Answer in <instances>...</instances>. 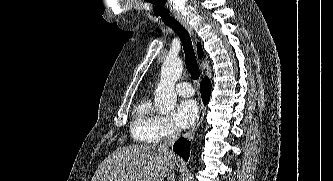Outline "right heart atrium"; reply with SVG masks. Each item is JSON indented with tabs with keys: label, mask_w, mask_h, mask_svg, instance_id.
Wrapping results in <instances>:
<instances>
[{
	"label": "right heart atrium",
	"mask_w": 333,
	"mask_h": 181,
	"mask_svg": "<svg viewBox=\"0 0 333 181\" xmlns=\"http://www.w3.org/2000/svg\"><path fill=\"white\" fill-rule=\"evenodd\" d=\"M155 132L158 140H162L175 137L179 129L170 118L161 116L157 120Z\"/></svg>",
	"instance_id": "1"
}]
</instances>
